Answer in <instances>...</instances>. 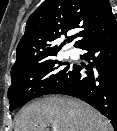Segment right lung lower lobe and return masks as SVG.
<instances>
[{
    "label": "right lung lower lobe",
    "instance_id": "right-lung-lower-lobe-1",
    "mask_svg": "<svg viewBox=\"0 0 117 131\" xmlns=\"http://www.w3.org/2000/svg\"><path fill=\"white\" fill-rule=\"evenodd\" d=\"M81 49L87 51L81 57L89 64L71 65L62 85L51 94L87 102L109 118L117 131V26Z\"/></svg>",
    "mask_w": 117,
    "mask_h": 131
}]
</instances>
